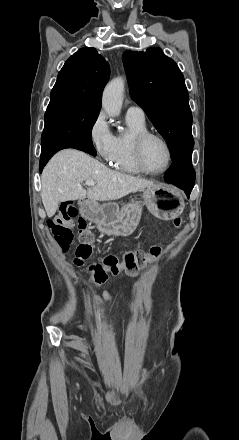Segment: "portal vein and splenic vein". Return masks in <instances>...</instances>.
<instances>
[{"label":"portal vein and splenic vein","instance_id":"1","mask_svg":"<svg viewBox=\"0 0 239 440\" xmlns=\"http://www.w3.org/2000/svg\"><path fill=\"white\" fill-rule=\"evenodd\" d=\"M85 184L86 186H95L94 180H86Z\"/></svg>","mask_w":239,"mask_h":440}]
</instances>
